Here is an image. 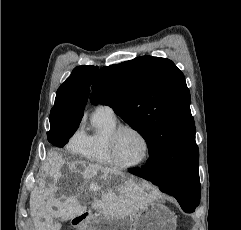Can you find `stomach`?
<instances>
[{
	"label": "stomach",
	"instance_id": "1",
	"mask_svg": "<svg viewBox=\"0 0 241 230\" xmlns=\"http://www.w3.org/2000/svg\"><path fill=\"white\" fill-rule=\"evenodd\" d=\"M124 175H113V186L124 180ZM174 213L166 206L150 202L134 214L132 221L117 218L88 219L79 230H176Z\"/></svg>",
	"mask_w": 241,
	"mask_h": 230
}]
</instances>
